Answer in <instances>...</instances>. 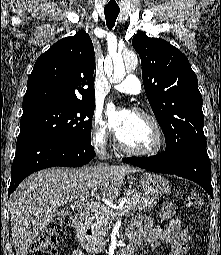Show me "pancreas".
Wrapping results in <instances>:
<instances>
[{"instance_id":"cf45deb5","label":"pancreas","mask_w":221,"mask_h":255,"mask_svg":"<svg viewBox=\"0 0 221 255\" xmlns=\"http://www.w3.org/2000/svg\"><path fill=\"white\" fill-rule=\"evenodd\" d=\"M124 197L126 198L127 203L131 206V211H145L153 209L156 206L154 200L147 199L142 196L140 192L135 190H127L124 193ZM115 216L116 214L113 210L108 209L105 212L97 213L85 222V226L88 225L94 233L93 239L87 244L89 250L101 248L106 244L108 229Z\"/></svg>"}]
</instances>
